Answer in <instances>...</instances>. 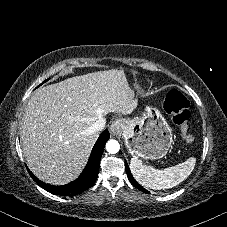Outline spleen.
<instances>
[{
    "mask_svg": "<svg viewBox=\"0 0 227 227\" xmlns=\"http://www.w3.org/2000/svg\"><path fill=\"white\" fill-rule=\"evenodd\" d=\"M196 158L190 157L186 161L158 170L142 163L137 157L130 162L131 172L139 184L154 190L169 189L184 181L193 171Z\"/></svg>",
    "mask_w": 227,
    "mask_h": 227,
    "instance_id": "spleen-1",
    "label": "spleen"
}]
</instances>
